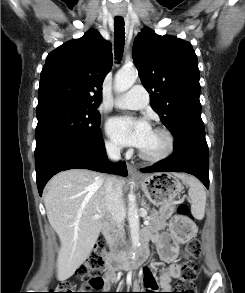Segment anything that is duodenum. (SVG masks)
<instances>
[{
	"label": "duodenum",
	"instance_id": "obj_1",
	"mask_svg": "<svg viewBox=\"0 0 245 293\" xmlns=\"http://www.w3.org/2000/svg\"><path fill=\"white\" fill-rule=\"evenodd\" d=\"M114 226L113 220H109L104 224L102 228V235L109 237ZM147 251L143 244H141L138 254L130 258L122 250H117L115 254L106 257L105 265L108 270H132L139 268L141 265V260L146 257Z\"/></svg>",
	"mask_w": 245,
	"mask_h": 293
}]
</instances>
